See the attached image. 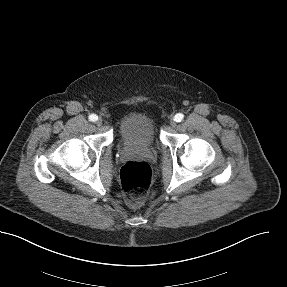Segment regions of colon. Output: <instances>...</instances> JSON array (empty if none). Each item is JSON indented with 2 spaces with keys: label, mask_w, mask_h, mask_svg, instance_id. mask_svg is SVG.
I'll list each match as a JSON object with an SVG mask.
<instances>
[{
  "label": "colon",
  "mask_w": 287,
  "mask_h": 287,
  "mask_svg": "<svg viewBox=\"0 0 287 287\" xmlns=\"http://www.w3.org/2000/svg\"><path fill=\"white\" fill-rule=\"evenodd\" d=\"M152 179L150 166L145 162L130 161L120 170V182L130 205L141 203L147 196Z\"/></svg>",
  "instance_id": "obj_1"
}]
</instances>
